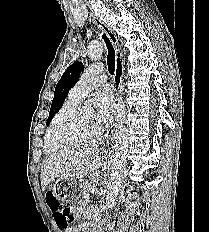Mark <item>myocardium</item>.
<instances>
[{
	"instance_id": "myocardium-1",
	"label": "myocardium",
	"mask_w": 209,
	"mask_h": 232,
	"mask_svg": "<svg viewBox=\"0 0 209 232\" xmlns=\"http://www.w3.org/2000/svg\"><path fill=\"white\" fill-rule=\"evenodd\" d=\"M85 108L86 107L83 105H76L75 107H73L72 109L67 111L56 124L51 126V134H52V138L55 142L66 145V144H71V143L95 138L101 133V131H102L101 126H99L92 133H88V134H84V135H72L68 132L59 131V128L68 124L69 122H71L75 118H77Z\"/></svg>"
}]
</instances>
